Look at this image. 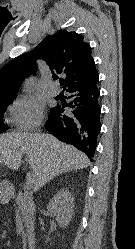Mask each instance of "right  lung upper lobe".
Returning a JSON list of instances; mask_svg holds the SVG:
<instances>
[{"label": "right lung upper lobe", "mask_w": 135, "mask_h": 249, "mask_svg": "<svg viewBox=\"0 0 135 249\" xmlns=\"http://www.w3.org/2000/svg\"><path fill=\"white\" fill-rule=\"evenodd\" d=\"M90 45L76 32L59 30L44 38L38 46L10 62L0 70V101L15 97L22 81L35 72L34 62L41 58L53 73L66 75L65 86L93 77L97 72Z\"/></svg>", "instance_id": "obj_1"}]
</instances>
